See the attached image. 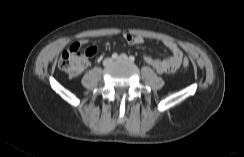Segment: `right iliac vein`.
<instances>
[{
	"mask_svg": "<svg viewBox=\"0 0 244 157\" xmlns=\"http://www.w3.org/2000/svg\"><path fill=\"white\" fill-rule=\"evenodd\" d=\"M112 63V59L111 58H106L104 61H103V65L104 66H108Z\"/></svg>",
	"mask_w": 244,
	"mask_h": 157,
	"instance_id": "63e3f726",
	"label": "right iliac vein"
}]
</instances>
